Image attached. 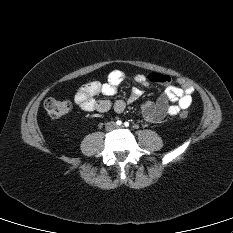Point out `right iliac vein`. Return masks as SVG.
<instances>
[{
  "instance_id": "obj_1",
  "label": "right iliac vein",
  "mask_w": 233,
  "mask_h": 233,
  "mask_svg": "<svg viewBox=\"0 0 233 233\" xmlns=\"http://www.w3.org/2000/svg\"><path fill=\"white\" fill-rule=\"evenodd\" d=\"M109 127H110V128H112V127H113V125H112V124H110V125H109Z\"/></svg>"
}]
</instances>
